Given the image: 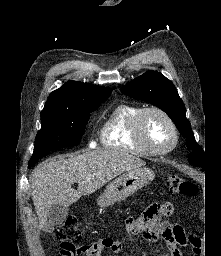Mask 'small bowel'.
Returning a JSON list of instances; mask_svg holds the SVG:
<instances>
[{"label": "small bowel", "mask_w": 221, "mask_h": 256, "mask_svg": "<svg viewBox=\"0 0 221 256\" xmlns=\"http://www.w3.org/2000/svg\"><path fill=\"white\" fill-rule=\"evenodd\" d=\"M173 207L170 203L153 204L149 206L139 217H128L125 220V229L129 234H140L148 244H155L162 238L167 246V251L162 256H182L181 246L186 243L183 228L170 223L164 218L172 214ZM78 254H62V256H103L109 251L113 255H119L122 251V243L111 238H103L98 241L79 246ZM149 256L148 251L139 244H134L130 255Z\"/></svg>", "instance_id": "1"}]
</instances>
